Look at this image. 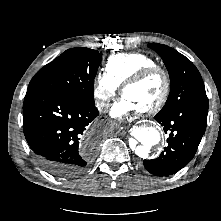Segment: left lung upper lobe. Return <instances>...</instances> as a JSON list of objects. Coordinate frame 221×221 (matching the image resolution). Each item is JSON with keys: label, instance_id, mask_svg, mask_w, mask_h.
I'll return each mask as SVG.
<instances>
[{"label": "left lung upper lobe", "instance_id": "5c2ea615", "mask_svg": "<svg viewBox=\"0 0 221 221\" xmlns=\"http://www.w3.org/2000/svg\"><path fill=\"white\" fill-rule=\"evenodd\" d=\"M148 47L161 56L171 80L169 97L160 112L173 110L187 103L208 105L202 77L188 58L163 44L152 43Z\"/></svg>", "mask_w": 221, "mask_h": 221}]
</instances>
